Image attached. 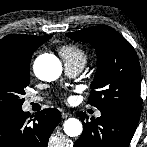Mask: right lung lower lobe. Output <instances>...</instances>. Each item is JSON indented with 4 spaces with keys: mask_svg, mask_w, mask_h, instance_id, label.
<instances>
[{
    "mask_svg": "<svg viewBox=\"0 0 147 147\" xmlns=\"http://www.w3.org/2000/svg\"><path fill=\"white\" fill-rule=\"evenodd\" d=\"M60 120L54 108L37 112L34 118L22 109L0 114V147H47Z\"/></svg>",
    "mask_w": 147,
    "mask_h": 147,
    "instance_id": "obj_1",
    "label": "right lung lower lobe"
}]
</instances>
